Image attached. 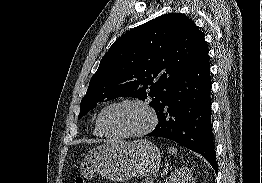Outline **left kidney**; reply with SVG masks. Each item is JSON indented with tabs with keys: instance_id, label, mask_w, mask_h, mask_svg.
Returning a JSON list of instances; mask_svg holds the SVG:
<instances>
[{
	"instance_id": "obj_1",
	"label": "left kidney",
	"mask_w": 262,
	"mask_h": 183,
	"mask_svg": "<svg viewBox=\"0 0 262 183\" xmlns=\"http://www.w3.org/2000/svg\"><path fill=\"white\" fill-rule=\"evenodd\" d=\"M164 183H193L192 170L182 167L170 174Z\"/></svg>"
}]
</instances>
